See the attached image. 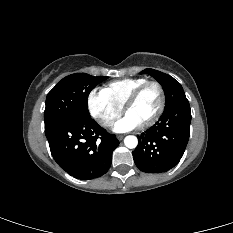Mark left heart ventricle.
<instances>
[{"instance_id":"obj_1","label":"left heart ventricle","mask_w":233,"mask_h":233,"mask_svg":"<svg viewBox=\"0 0 233 233\" xmlns=\"http://www.w3.org/2000/svg\"><path fill=\"white\" fill-rule=\"evenodd\" d=\"M160 95L157 87H147L137 101L128 109L127 113L135 117L140 124L149 120L157 111Z\"/></svg>"}]
</instances>
